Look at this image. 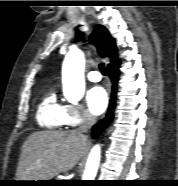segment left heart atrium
Returning <instances> with one entry per match:
<instances>
[{
	"mask_svg": "<svg viewBox=\"0 0 178 186\" xmlns=\"http://www.w3.org/2000/svg\"><path fill=\"white\" fill-rule=\"evenodd\" d=\"M86 103L92 114L99 115L103 113L108 104L107 92L101 86L92 87L87 92Z\"/></svg>",
	"mask_w": 178,
	"mask_h": 186,
	"instance_id": "1",
	"label": "left heart atrium"
}]
</instances>
